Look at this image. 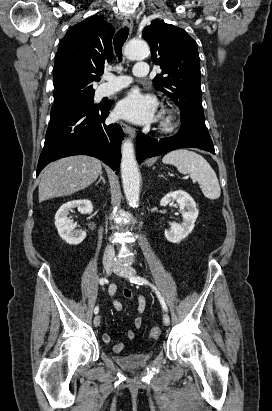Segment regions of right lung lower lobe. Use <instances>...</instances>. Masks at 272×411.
<instances>
[{
  "label": "right lung lower lobe",
  "mask_w": 272,
  "mask_h": 411,
  "mask_svg": "<svg viewBox=\"0 0 272 411\" xmlns=\"http://www.w3.org/2000/svg\"><path fill=\"white\" fill-rule=\"evenodd\" d=\"M110 107L94 104L51 117L37 175L50 162L72 155L93 156L117 170L124 134L119 124L105 123Z\"/></svg>",
  "instance_id": "1"
}]
</instances>
